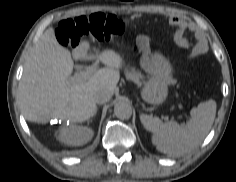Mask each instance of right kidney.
<instances>
[{
	"label": "right kidney",
	"mask_w": 236,
	"mask_h": 182,
	"mask_svg": "<svg viewBox=\"0 0 236 182\" xmlns=\"http://www.w3.org/2000/svg\"><path fill=\"white\" fill-rule=\"evenodd\" d=\"M93 134L88 127L71 125L60 129L58 139L66 145L81 146L89 142Z\"/></svg>",
	"instance_id": "right-kidney-1"
}]
</instances>
